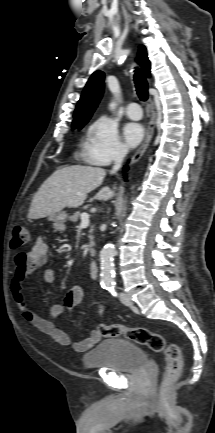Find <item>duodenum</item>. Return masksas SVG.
Returning a JSON list of instances; mask_svg holds the SVG:
<instances>
[{
  "instance_id": "410a0bca",
  "label": "duodenum",
  "mask_w": 215,
  "mask_h": 433,
  "mask_svg": "<svg viewBox=\"0 0 215 433\" xmlns=\"http://www.w3.org/2000/svg\"><path fill=\"white\" fill-rule=\"evenodd\" d=\"M89 271H90V275L92 278L94 279H98L99 277V267L98 264L94 261H91L89 263Z\"/></svg>"
}]
</instances>
